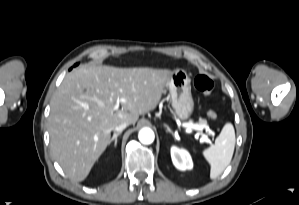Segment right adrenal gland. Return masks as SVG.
<instances>
[{
    "instance_id": "1",
    "label": "right adrenal gland",
    "mask_w": 299,
    "mask_h": 205,
    "mask_svg": "<svg viewBox=\"0 0 299 205\" xmlns=\"http://www.w3.org/2000/svg\"><path fill=\"white\" fill-rule=\"evenodd\" d=\"M120 134H121V132L114 133L113 137L110 139L109 144H111V142L114 141V147H116L117 146V138Z\"/></svg>"
}]
</instances>
